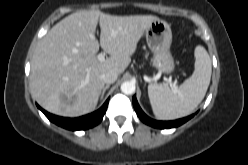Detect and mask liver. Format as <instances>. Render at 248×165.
I'll return each instance as SVG.
<instances>
[{"mask_svg": "<svg viewBox=\"0 0 248 165\" xmlns=\"http://www.w3.org/2000/svg\"><path fill=\"white\" fill-rule=\"evenodd\" d=\"M157 19L152 15L113 16L99 10L65 17L36 47L31 61V94L42 108L56 115L90 113L104 87L102 75L125 71L138 41ZM97 24L100 43L95 37ZM99 47L110 55L102 62L96 56Z\"/></svg>", "mask_w": 248, "mask_h": 165, "instance_id": "1", "label": "liver"}]
</instances>
